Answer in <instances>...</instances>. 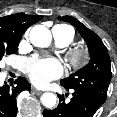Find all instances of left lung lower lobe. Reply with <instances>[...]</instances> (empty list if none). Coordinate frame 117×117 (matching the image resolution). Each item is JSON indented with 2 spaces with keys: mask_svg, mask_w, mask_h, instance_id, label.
Returning <instances> with one entry per match:
<instances>
[{
  "mask_svg": "<svg viewBox=\"0 0 117 117\" xmlns=\"http://www.w3.org/2000/svg\"><path fill=\"white\" fill-rule=\"evenodd\" d=\"M66 90H69L66 88ZM69 103H65L63 96H59L60 102L53 110H44L43 117H92L102 105L89 94L74 90Z\"/></svg>",
  "mask_w": 117,
  "mask_h": 117,
  "instance_id": "obj_1",
  "label": "left lung lower lobe"
}]
</instances>
